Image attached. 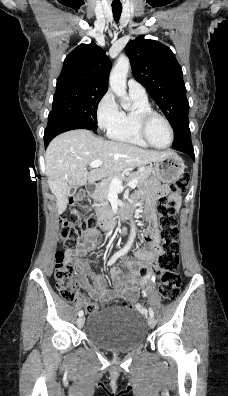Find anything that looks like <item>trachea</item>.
<instances>
[{"label": "trachea", "mask_w": 228, "mask_h": 396, "mask_svg": "<svg viewBox=\"0 0 228 396\" xmlns=\"http://www.w3.org/2000/svg\"><path fill=\"white\" fill-rule=\"evenodd\" d=\"M112 12H113V17L115 19L116 22L119 21L120 16H121V12H122V6L121 7H112Z\"/></svg>", "instance_id": "3493384b"}]
</instances>
